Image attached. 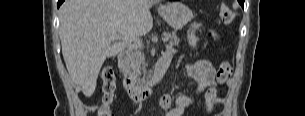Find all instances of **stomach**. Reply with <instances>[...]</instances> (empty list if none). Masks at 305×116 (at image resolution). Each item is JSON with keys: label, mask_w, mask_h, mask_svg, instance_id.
Returning a JSON list of instances; mask_svg holds the SVG:
<instances>
[{"label": "stomach", "mask_w": 305, "mask_h": 116, "mask_svg": "<svg viewBox=\"0 0 305 116\" xmlns=\"http://www.w3.org/2000/svg\"><path fill=\"white\" fill-rule=\"evenodd\" d=\"M161 17L173 28L181 29L192 18V11L181 2H169L158 9Z\"/></svg>", "instance_id": "0dacf381"}]
</instances>
